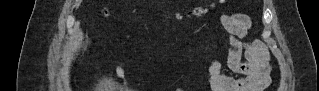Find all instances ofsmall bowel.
Masks as SVG:
<instances>
[{
	"label": "small bowel",
	"mask_w": 319,
	"mask_h": 91,
	"mask_svg": "<svg viewBox=\"0 0 319 91\" xmlns=\"http://www.w3.org/2000/svg\"><path fill=\"white\" fill-rule=\"evenodd\" d=\"M223 24L228 30V40L232 46L229 52L227 67L230 71L242 76H230L224 73L223 66L211 59L207 64L210 84L219 91H261L269 84V64L266 48L261 41H247L251 27L249 17L242 14L224 16ZM244 50L247 62L242 61ZM115 72L123 85L128 84L125 70L115 67Z\"/></svg>",
	"instance_id": "small-bowel-1"
}]
</instances>
